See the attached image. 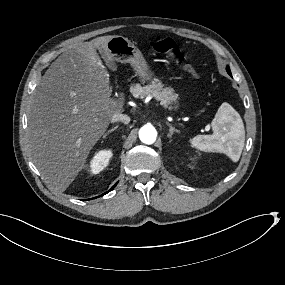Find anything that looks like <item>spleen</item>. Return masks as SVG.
Here are the masks:
<instances>
[{"mask_svg": "<svg viewBox=\"0 0 285 285\" xmlns=\"http://www.w3.org/2000/svg\"><path fill=\"white\" fill-rule=\"evenodd\" d=\"M227 112L216 114L211 121L212 135H196L191 138L190 145L198 151L205 153L220 152L226 154L233 163H237L240 158V153L244 144V130L241 127L235 128L233 131H228L217 137V125L219 120L224 123L227 120ZM230 146V147H229ZM238 147V153H232Z\"/></svg>", "mask_w": 285, "mask_h": 285, "instance_id": "spleen-1", "label": "spleen"}]
</instances>
